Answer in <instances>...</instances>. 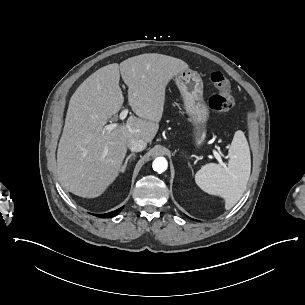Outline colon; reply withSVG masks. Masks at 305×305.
Wrapping results in <instances>:
<instances>
[{
	"instance_id": "obj_1",
	"label": "colon",
	"mask_w": 305,
	"mask_h": 305,
	"mask_svg": "<svg viewBox=\"0 0 305 305\" xmlns=\"http://www.w3.org/2000/svg\"><path fill=\"white\" fill-rule=\"evenodd\" d=\"M210 81L217 93L209 98V107L222 113L233 109L235 102L226 75L220 71H214L210 74Z\"/></svg>"
}]
</instances>
